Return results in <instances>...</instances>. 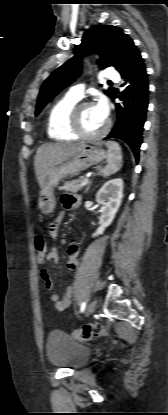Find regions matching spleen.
Returning <instances> with one entry per match:
<instances>
[{"mask_svg": "<svg viewBox=\"0 0 168 415\" xmlns=\"http://www.w3.org/2000/svg\"><path fill=\"white\" fill-rule=\"evenodd\" d=\"M107 151V165L102 169V176L108 177L115 174L122 167V152L120 145L115 141L106 142Z\"/></svg>", "mask_w": 168, "mask_h": 415, "instance_id": "1", "label": "spleen"}]
</instances>
